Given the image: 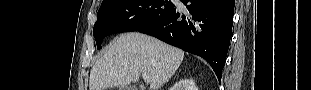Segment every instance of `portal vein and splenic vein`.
Here are the masks:
<instances>
[{
	"instance_id": "1",
	"label": "portal vein and splenic vein",
	"mask_w": 311,
	"mask_h": 90,
	"mask_svg": "<svg viewBox=\"0 0 311 90\" xmlns=\"http://www.w3.org/2000/svg\"><path fill=\"white\" fill-rule=\"evenodd\" d=\"M142 78L147 82L150 81V76L148 74H142Z\"/></svg>"
}]
</instances>
